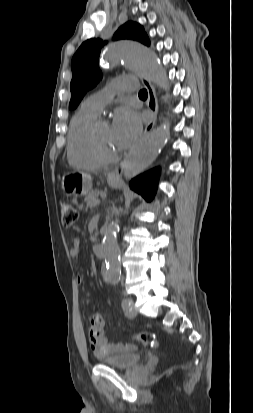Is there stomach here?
Returning <instances> with one entry per match:
<instances>
[{"label": "stomach", "instance_id": "obj_1", "mask_svg": "<svg viewBox=\"0 0 253 413\" xmlns=\"http://www.w3.org/2000/svg\"><path fill=\"white\" fill-rule=\"evenodd\" d=\"M109 185L117 188L120 186V183L118 181H110ZM61 187L67 196H84L87 195L92 188V178L84 172L67 173L62 177Z\"/></svg>", "mask_w": 253, "mask_h": 413}]
</instances>
